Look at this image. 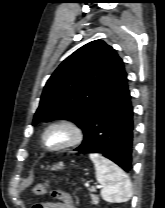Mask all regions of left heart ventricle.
I'll use <instances>...</instances> for the list:
<instances>
[{
    "label": "left heart ventricle",
    "instance_id": "left-heart-ventricle-1",
    "mask_svg": "<svg viewBox=\"0 0 165 208\" xmlns=\"http://www.w3.org/2000/svg\"><path fill=\"white\" fill-rule=\"evenodd\" d=\"M68 137V132L65 129L57 128L48 133L46 141L50 146H56L64 143Z\"/></svg>",
    "mask_w": 165,
    "mask_h": 208
}]
</instances>
